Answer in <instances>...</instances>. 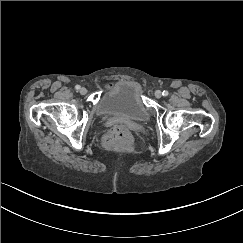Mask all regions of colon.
Instances as JSON below:
<instances>
[{
	"label": "colon",
	"instance_id": "obj_1",
	"mask_svg": "<svg viewBox=\"0 0 243 243\" xmlns=\"http://www.w3.org/2000/svg\"><path fill=\"white\" fill-rule=\"evenodd\" d=\"M129 138L128 131L125 128L117 129L112 135L107 137L106 141L108 143H114L119 140H125Z\"/></svg>",
	"mask_w": 243,
	"mask_h": 243
}]
</instances>
